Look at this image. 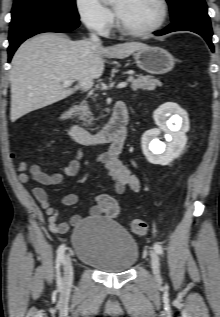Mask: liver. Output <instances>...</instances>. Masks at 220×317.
<instances>
[{
  "label": "liver",
  "mask_w": 220,
  "mask_h": 317,
  "mask_svg": "<svg viewBox=\"0 0 220 317\" xmlns=\"http://www.w3.org/2000/svg\"><path fill=\"white\" fill-rule=\"evenodd\" d=\"M144 47L140 42L103 47L55 33H42L27 40L12 58L11 121L63 100L78 89L91 88L94 79L103 74V57L123 59ZM63 80L77 81V85L63 87Z\"/></svg>",
  "instance_id": "6515ba94"
}]
</instances>
